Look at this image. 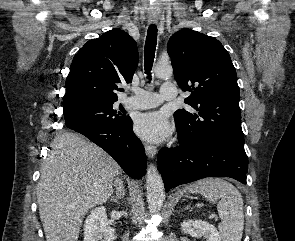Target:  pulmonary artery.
<instances>
[{"mask_svg": "<svg viewBox=\"0 0 295 241\" xmlns=\"http://www.w3.org/2000/svg\"><path fill=\"white\" fill-rule=\"evenodd\" d=\"M176 95V86L173 83H164L158 93L143 89L134 90V95L129 97L125 104L132 109H148L160 105L165 100L175 99Z\"/></svg>", "mask_w": 295, "mask_h": 241, "instance_id": "obj_1", "label": "pulmonary artery"}]
</instances>
